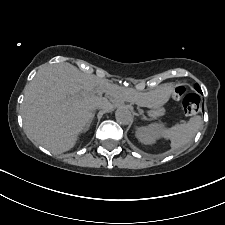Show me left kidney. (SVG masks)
Returning <instances> with one entry per match:
<instances>
[{
  "label": "left kidney",
  "mask_w": 225,
  "mask_h": 225,
  "mask_svg": "<svg viewBox=\"0 0 225 225\" xmlns=\"http://www.w3.org/2000/svg\"><path fill=\"white\" fill-rule=\"evenodd\" d=\"M161 129L162 125L158 123L139 127L136 131V137L143 144H154L160 136Z\"/></svg>",
  "instance_id": "5707ae66"
}]
</instances>
